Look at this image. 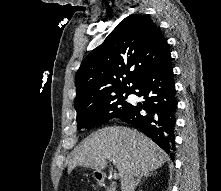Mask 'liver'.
I'll return each mask as SVG.
<instances>
[{
    "label": "liver",
    "mask_w": 221,
    "mask_h": 191,
    "mask_svg": "<svg viewBox=\"0 0 221 191\" xmlns=\"http://www.w3.org/2000/svg\"><path fill=\"white\" fill-rule=\"evenodd\" d=\"M115 160L121 186L124 187L130 176L160 168L168 155L151 139L127 127H106L91 134L72 152L68 172L76 166L102 171L107 159Z\"/></svg>",
    "instance_id": "6515ba94"
}]
</instances>
